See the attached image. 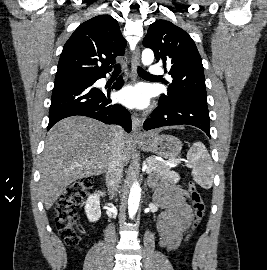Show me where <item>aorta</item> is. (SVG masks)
I'll list each match as a JSON object with an SVG mask.
<instances>
[{
    "mask_svg": "<svg viewBox=\"0 0 267 270\" xmlns=\"http://www.w3.org/2000/svg\"><path fill=\"white\" fill-rule=\"evenodd\" d=\"M154 60V53L151 49H144L142 52V63L145 66L151 65ZM141 198V187L139 183L136 181L133 183L130 194H129V199H128V213L130 218H133L137 210L139 208V202Z\"/></svg>",
    "mask_w": 267,
    "mask_h": 270,
    "instance_id": "762f6f07",
    "label": "aorta"
}]
</instances>
